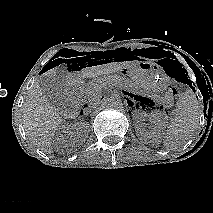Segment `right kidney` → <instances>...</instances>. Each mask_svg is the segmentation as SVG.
<instances>
[{"label":"right kidney","mask_w":213,"mask_h":213,"mask_svg":"<svg viewBox=\"0 0 213 213\" xmlns=\"http://www.w3.org/2000/svg\"><path fill=\"white\" fill-rule=\"evenodd\" d=\"M86 125L87 124L85 122H81V123H76L72 126L73 129L76 130L77 134L82 136V141L85 140L86 137L88 136Z\"/></svg>","instance_id":"right-kidney-1"}]
</instances>
